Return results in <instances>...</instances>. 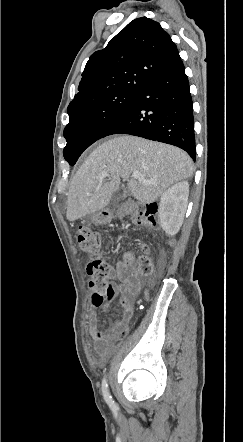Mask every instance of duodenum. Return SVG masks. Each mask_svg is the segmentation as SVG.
Masks as SVG:
<instances>
[{
    "label": "duodenum",
    "mask_w": 243,
    "mask_h": 442,
    "mask_svg": "<svg viewBox=\"0 0 243 442\" xmlns=\"http://www.w3.org/2000/svg\"><path fill=\"white\" fill-rule=\"evenodd\" d=\"M128 210H129V211H130V213H131V208H129ZM125 211H127V209H125Z\"/></svg>",
    "instance_id": "duodenum-1"
}]
</instances>
